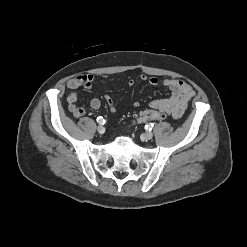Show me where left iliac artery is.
Wrapping results in <instances>:
<instances>
[{"label": "left iliac artery", "instance_id": "left-iliac-artery-1", "mask_svg": "<svg viewBox=\"0 0 247 247\" xmlns=\"http://www.w3.org/2000/svg\"><path fill=\"white\" fill-rule=\"evenodd\" d=\"M153 127H154V124H153V123H149V124L146 125V128H147L149 131H151Z\"/></svg>", "mask_w": 247, "mask_h": 247}]
</instances>
